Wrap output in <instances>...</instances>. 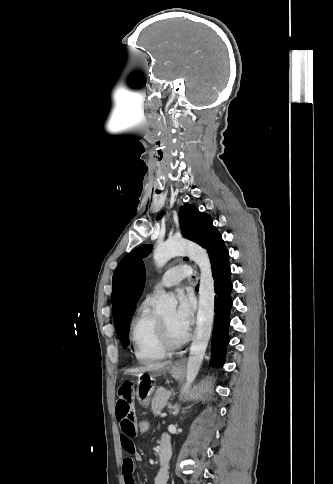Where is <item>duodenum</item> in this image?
I'll list each match as a JSON object with an SVG mask.
<instances>
[{"mask_svg":"<svg viewBox=\"0 0 333 484\" xmlns=\"http://www.w3.org/2000/svg\"><path fill=\"white\" fill-rule=\"evenodd\" d=\"M171 453L169 440H161L157 449V457L161 468L167 469Z\"/></svg>","mask_w":333,"mask_h":484,"instance_id":"duodenum-1","label":"duodenum"}]
</instances>
